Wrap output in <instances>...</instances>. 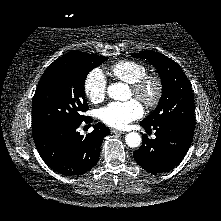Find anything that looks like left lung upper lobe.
Segmentation results:
<instances>
[{
	"mask_svg": "<svg viewBox=\"0 0 221 221\" xmlns=\"http://www.w3.org/2000/svg\"><path fill=\"white\" fill-rule=\"evenodd\" d=\"M132 55L147 59L155 66L163 88L156 109L141 122L173 123L194 130V97L190 82L182 68L172 59L158 52L147 50Z\"/></svg>",
	"mask_w": 221,
	"mask_h": 221,
	"instance_id": "5c2ea615",
	"label": "left lung upper lobe"
}]
</instances>
